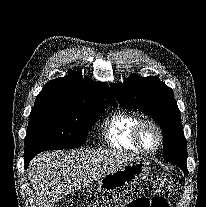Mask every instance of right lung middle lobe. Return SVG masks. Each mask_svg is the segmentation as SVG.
Listing matches in <instances>:
<instances>
[{
  "label": "right lung middle lobe",
  "mask_w": 206,
  "mask_h": 207,
  "mask_svg": "<svg viewBox=\"0 0 206 207\" xmlns=\"http://www.w3.org/2000/svg\"><path fill=\"white\" fill-rule=\"evenodd\" d=\"M106 107L108 106L35 103L29 116L25 155L80 146Z\"/></svg>",
  "instance_id": "1"
}]
</instances>
